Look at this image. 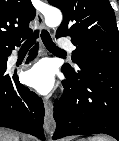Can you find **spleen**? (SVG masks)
<instances>
[{
    "label": "spleen",
    "mask_w": 119,
    "mask_h": 141,
    "mask_svg": "<svg viewBox=\"0 0 119 141\" xmlns=\"http://www.w3.org/2000/svg\"><path fill=\"white\" fill-rule=\"evenodd\" d=\"M80 141H86L85 139H82ZM87 141H109L107 138L102 137V136H94V137H90L88 138Z\"/></svg>",
    "instance_id": "1"
}]
</instances>
